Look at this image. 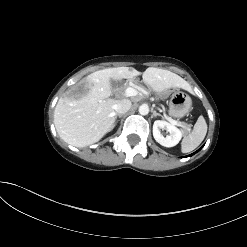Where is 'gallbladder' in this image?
Segmentation results:
<instances>
[{
  "instance_id": "obj_1",
  "label": "gallbladder",
  "mask_w": 247,
  "mask_h": 247,
  "mask_svg": "<svg viewBox=\"0 0 247 247\" xmlns=\"http://www.w3.org/2000/svg\"><path fill=\"white\" fill-rule=\"evenodd\" d=\"M110 84H111L112 88H116L118 82H117L116 80L111 79V80H110Z\"/></svg>"
}]
</instances>
